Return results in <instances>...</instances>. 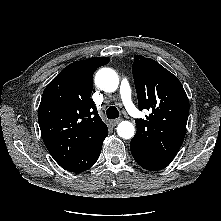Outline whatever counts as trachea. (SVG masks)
Here are the masks:
<instances>
[{"label":"trachea","instance_id":"obj_1","mask_svg":"<svg viewBox=\"0 0 221 221\" xmlns=\"http://www.w3.org/2000/svg\"><path fill=\"white\" fill-rule=\"evenodd\" d=\"M119 115V111L115 106H110L106 111V116L108 119L118 118Z\"/></svg>","mask_w":221,"mask_h":221}]
</instances>
